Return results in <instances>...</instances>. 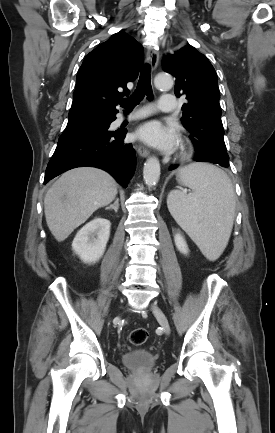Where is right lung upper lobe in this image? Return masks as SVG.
Instances as JSON below:
<instances>
[{
    "label": "right lung upper lobe",
    "instance_id": "right-lung-upper-lobe-1",
    "mask_svg": "<svg viewBox=\"0 0 275 433\" xmlns=\"http://www.w3.org/2000/svg\"><path fill=\"white\" fill-rule=\"evenodd\" d=\"M143 60L142 45L123 31L100 44L85 57L77 73L69 119L115 116L117 102L129 93L126 84L137 78Z\"/></svg>",
    "mask_w": 275,
    "mask_h": 433
}]
</instances>
